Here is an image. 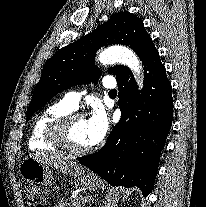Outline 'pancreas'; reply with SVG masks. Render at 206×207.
Returning <instances> with one entry per match:
<instances>
[{
  "label": "pancreas",
  "mask_w": 206,
  "mask_h": 207,
  "mask_svg": "<svg viewBox=\"0 0 206 207\" xmlns=\"http://www.w3.org/2000/svg\"><path fill=\"white\" fill-rule=\"evenodd\" d=\"M66 205L67 202L65 200H61L55 207H66ZM69 205L72 207H84V203L81 204L78 200H71Z\"/></svg>",
  "instance_id": "cf45deb5"
}]
</instances>
